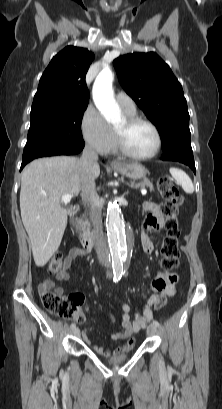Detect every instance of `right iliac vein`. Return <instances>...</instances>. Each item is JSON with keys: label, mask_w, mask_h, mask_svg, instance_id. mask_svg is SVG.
Wrapping results in <instances>:
<instances>
[{"label": "right iliac vein", "mask_w": 222, "mask_h": 409, "mask_svg": "<svg viewBox=\"0 0 222 409\" xmlns=\"http://www.w3.org/2000/svg\"><path fill=\"white\" fill-rule=\"evenodd\" d=\"M72 333H73L74 336H79V335H80V330H79V328L75 327V328L73 329Z\"/></svg>", "instance_id": "obj_1"}]
</instances>
